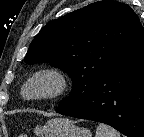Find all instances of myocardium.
I'll return each instance as SVG.
<instances>
[{"instance_id":"1","label":"myocardium","mask_w":144,"mask_h":137,"mask_svg":"<svg viewBox=\"0 0 144 137\" xmlns=\"http://www.w3.org/2000/svg\"><path fill=\"white\" fill-rule=\"evenodd\" d=\"M39 79H49L53 83V87L46 93L28 95L26 93L28 87ZM68 88V79L66 75L58 68L46 67L33 72L25 81L22 87V95L28 100L48 101L53 100L65 93Z\"/></svg>"}]
</instances>
